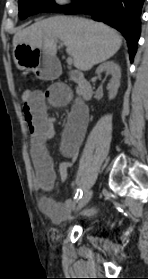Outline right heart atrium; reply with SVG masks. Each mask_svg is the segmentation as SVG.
Wrapping results in <instances>:
<instances>
[{
  "instance_id": "d8ad5b80",
  "label": "right heart atrium",
  "mask_w": 148,
  "mask_h": 279,
  "mask_svg": "<svg viewBox=\"0 0 148 279\" xmlns=\"http://www.w3.org/2000/svg\"><path fill=\"white\" fill-rule=\"evenodd\" d=\"M54 3L58 6H66L71 3V0H54Z\"/></svg>"
}]
</instances>
